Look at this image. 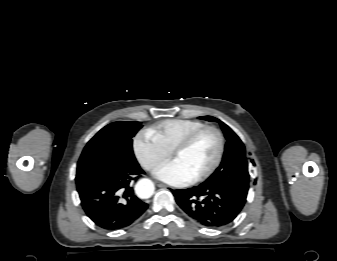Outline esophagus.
Listing matches in <instances>:
<instances>
[{"mask_svg": "<svg viewBox=\"0 0 337 261\" xmlns=\"http://www.w3.org/2000/svg\"><path fill=\"white\" fill-rule=\"evenodd\" d=\"M157 186L160 187V188H163V189H167V188H171L163 183H160V182H157Z\"/></svg>", "mask_w": 337, "mask_h": 261, "instance_id": "1", "label": "esophagus"}]
</instances>
